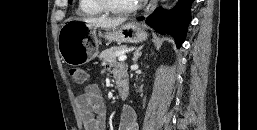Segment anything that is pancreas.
Instances as JSON below:
<instances>
[{
	"label": "pancreas",
	"mask_w": 257,
	"mask_h": 130,
	"mask_svg": "<svg viewBox=\"0 0 257 130\" xmlns=\"http://www.w3.org/2000/svg\"><path fill=\"white\" fill-rule=\"evenodd\" d=\"M126 49H127V46L112 47L104 50L98 57L104 63L114 65L116 63V58L118 57V53L125 51Z\"/></svg>",
	"instance_id": "pancreas-1"
}]
</instances>
